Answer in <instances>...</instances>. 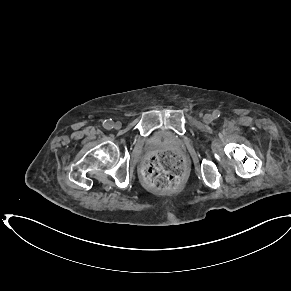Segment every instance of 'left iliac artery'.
<instances>
[{
  "label": "left iliac artery",
  "mask_w": 291,
  "mask_h": 291,
  "mask_svg": "<svg viewBox=\"0 0 291 291\" xmlns=\"http://www.w3.org/2000/svg\"><path fill=\"white\" fill-rule=\"evenodd\" d=\"M219 116H220V111L214 110V112H213L214 119H217Z\"/></svg>",
  "instance_id": "1"
}]
</instances>
